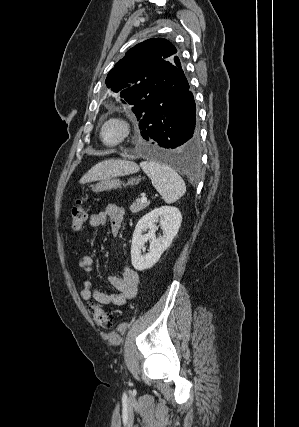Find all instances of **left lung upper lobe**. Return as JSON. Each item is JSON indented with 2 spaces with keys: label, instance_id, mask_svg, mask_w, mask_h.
Here are the masks:
<instances>
[{
  "label": "left lung upper lobe",
  "instance_id": "1",
  "mask_svg": "<svg viewBox=\"0 0 299 427\" xmlns=\"http://www.w3.org/2000/svg\"><path fill=\"white\" fill-rule=\"evenodd\" d=\"M176 53L168 40L148 39L128 50L108 73L107 87L133 106L138 120L145 108L160 100L177 81L180 70L175 63Z\"/></svg>",
  "mask_w": 299,
  "mask_h": 427
}]
</instances>
